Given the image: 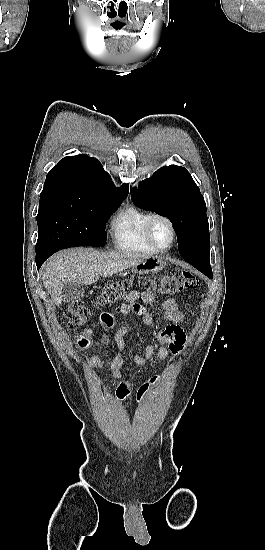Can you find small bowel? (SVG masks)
I'll return each instance as SVG.
<instances>
[{
  "mask_svg": "<svg viewBox=\"0 0 265 550\" xmlns=\"http://www.w3.org/2000/svg\"><path fill=\"white\" fill-rule=\"evenodd\" d=\"M138 301H143L145 303L159 302L164 308V318L174 324L164 328L158 333L157 339L159 341V347L157 350L153 344H146L143 354L134 355V362L137 365L143 366L146 365L155 355L160 361H165L171 354H180L184 348L186 336L181 326L184 322V315L180 311L176 301L173 299L158 301L157 298L150 292H130L126 297L125 302L121 305L120 312L123 314H128L133 311L139 313L142 316L143 323L146 327L152 325L153 319L147 310L138 304ZM106 314L111 316V321L104 323V329L111 330L115 325V315L112 313ZM127 332V327H122L115 333L114 343L116 346V354L108 366L105 365L100 358L95 356L90 358V365L95 368H107L116 380H120L125 363V335ZM94 335L95 330L93 328L84 329L74 339L77 348L80 350L88 349ZM129 390L130 384L127 381H119L117 387L118 398L125 399L129 394Z\"/></svg>",
  "mask_w": 265,
  "mask_h": 550,
  "instance_id": "1",
  "label": "small bowel"
}]
</instances>
